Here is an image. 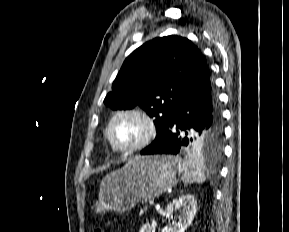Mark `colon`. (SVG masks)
<instances>
[{"mask_svg":"<svg viewBox=\"0 0 289 232\" xmlns=\"http://www.w3.org/2000/svg\"><path fill=\"white\" fill-rule=\"evenodd\" d=\"M94 232H104V231L101 229H96V230H94Z\"/></svg>","mask_w":289,"mask_h":232,"instance_id":"obj_1","label":"colon"}]
</instances>
